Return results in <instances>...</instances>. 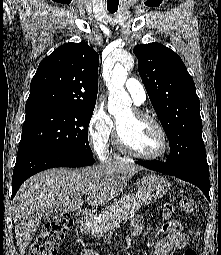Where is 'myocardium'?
Listing matches in <instances>:
<instances>
[{"instance_id":"1","label":"myocardium","mask_w":221,"mask_h":255,"mask_svg":"<svg viewBox=\"0 0 221 255\" xmlns=\"http://www.w3.org/2000/svg\"><path fill=\"white\" fill-rule=\"evenodd\" d=\"M132 113L137 119L150 122L157 128L162 139V149L160 150L159 153L155 155H145V154L137 152L128 144V142L125 140L123 135L120 133L117 126L116 132H115V140H116L118 149L129 156L146 160V161H156V160L163 159L169 151V140H168L167 133L164 127L162 126V124L155 117H153L151 114L145 111L134 108L132 109Z\"/></svg>"}]
</instances>
